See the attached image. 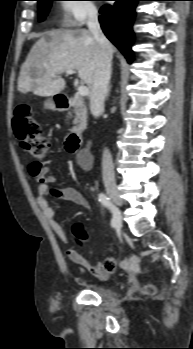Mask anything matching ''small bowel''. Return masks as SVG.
<instances>
[{
  "label": "small bowel",
  "instance_id": "obj_1",
  "mask_svg": "<svg viewBox=\"0 0 193 349\" xmlns=\"http://www.w3.org/2000/svg\"><path fill=\"white\" fill-rule=\"evenodd\" d=\"M49 163L50 161L42 163L33 162L29 165V172L38 183V194L36 198L38 206L41 208L45 219L53 231L63 242L67 243L68 236L57 219L55 211L49 203L48 197L52 194L59 199L74 203L83 208H88V202L85 197L75 188H52L51 185L54 183V177L51 175L50 168L48 166ZM78 163L84 170H90L92 167L93 158L91 154L86 153L78 158ZM67 255L74 264L87 269L99 281L107 280L109 274L116 270L115 261L108 257L104 258L100 262L92 263L75 249L68 250Z\"/></svg>",
  "mask_w": 193,
  "mask_h": 349
}]
</instances>
